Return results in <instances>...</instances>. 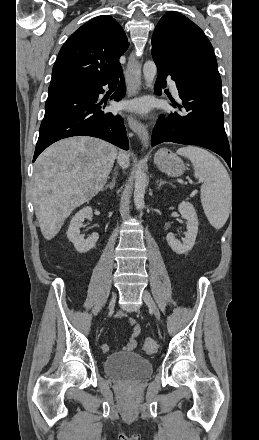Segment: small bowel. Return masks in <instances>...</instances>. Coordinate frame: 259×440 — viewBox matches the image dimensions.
I'll return each instance as SVG.
<instances>
[{"label": "small bowel", "mask_w": 259, "mask_h": 440, "mask_svg": "<svg viewBox=\"0 0 259 440\" xmlns=\"http://www.w3.org/2000/svg\"><path fill=\"white\" fill-rule=\"evenodd\" d=\"M124 317H125V314L122 311H120L116 316V318L118 320L123 319ZM127 324L129 326L133 327V334H132L130 341L126 345L125 350H132L136 346L135 338L139 335L141 329H140V325L137 323V321L134 318L128 319ZM101 348L104 351H106L108 349V346L106 344H103L101 346Z\"/></svg>", "instance_id": "obj_1"}]
</instances>
